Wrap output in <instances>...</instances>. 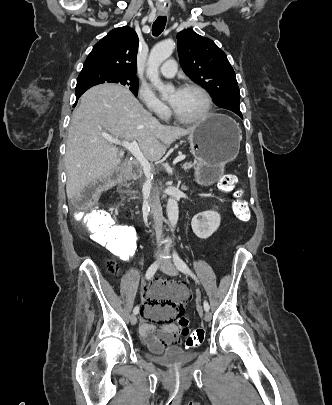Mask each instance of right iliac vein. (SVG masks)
Wrapping results in <instances>:
<instances>
[{
  "label": "right iliac vein",
  "mask_w": 332,
  "mask_h": 405,
  "mask_svg": "<svg viewBox=\"0 0 332 405\" xmlns=\"http://www.w3.org/2000/svg\"><path fill=\"white\" fill-rule=\"evenodd\" d=\"M130 322L132 325H135L137 323V317L136 314H132L130 317Z\"/></svg>",
  "instance_id": "63e3f726"
}]
</instances>
